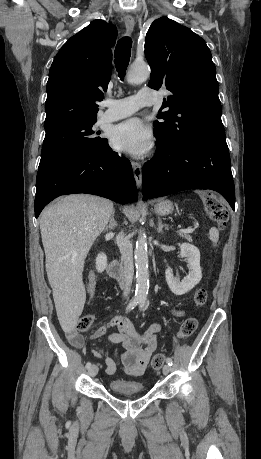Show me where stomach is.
Instances as JSON below:
<instances>
[{
  "mask_svg": "<svg viewBox=\"0 0 261 459\" xmlns=\"http://www.w3.org/2000/svg\"><path fill=\"white\" fill-rule=\"evenodd\" d=\"M173 203L169 200H162L155 204L154 209L158 215H168L173 211Z\"/></svg>",
  "mask_w": 261,
  "mask_h": 459,
  "instance_id": "obj_1",
  "label": "stomach"
}]
</instances>
